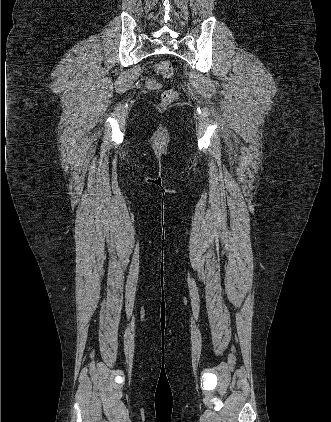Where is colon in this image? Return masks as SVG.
<instances>
[{
  "label": "colon",
  "instance_id": "1",
  "mask_svg": "<svg viewBox=\"0 0 331 422\" xmlns=\"http://www.w3.org/2000/svg\"><path fill=\"white\" fill-rule=\"evenodd\" d=\"M155 71L161 77H169L172 74V65L169 61L162 60L155 64ZM177 98V94L172 90H166L161 95V104L169 105Z\"/></svg>",
  "mask_w": 331,
  "mask_h": 422
}]
</instances>
